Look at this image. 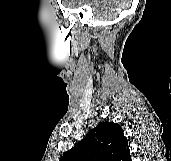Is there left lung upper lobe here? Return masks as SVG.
Instances as JSON below:
<instances>
[{
    "label": "left lung upper lobe",
    "instance_id": "obj_1",
    "mask_svg": "<svg viewBox=\"0 0 171 161\" xmlns=\"http://www.w3.org/2000/svg\"><path fill=\"white\" fill-rule=\"evenodd\" d=\"M60 161H131V156L121 126L102 122L65 152Z\"/></svg>",
    "mask_w": 171,
    "mask_h": 161
}]
</instances>
